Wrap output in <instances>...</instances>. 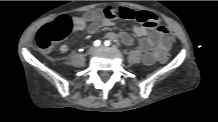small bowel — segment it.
I'll return each mask as SVG.
<instances>
[{
  "label": "small bowel",
  "instance_id": "obj_1",
  "mask_svg": "<svg viewBox=\"0 0 218 122\" xmlns=\"http://www.w3.org/2000/svg\"><path fill=\"white\" fill-rule=\"evenodd\" d=\"M74 33H79L85 29L90 34L96 33L101 27L112 25L111 18L107 17L105 11L97 9L83 13L72 18ZM135 36L140 38L138 49L143 54V62L146 65H152L157 61L158 55H163L169 51L172 40L168 31L164 27H158L149 30L144 25H134L132 27ZM107 38L113 41L120 40L127 46L134 44V38L127 32L108 33ZM61 52L68 51L67 43L60 46Z\"/></svg>",
  "mask_w": 218,
  "mask_h": 122
}]
</instances>
